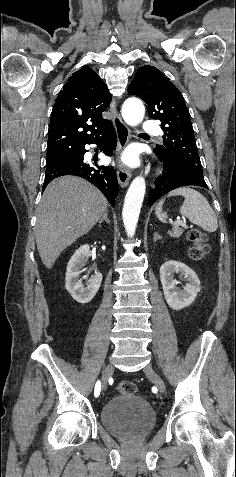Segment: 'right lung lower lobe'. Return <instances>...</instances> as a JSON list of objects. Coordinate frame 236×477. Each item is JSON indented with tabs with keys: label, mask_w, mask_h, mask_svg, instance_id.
Returning a JSON list of instances; mask_svg holds the SVG:
<instances>
[{
	"label": "right lung lower lobe",
	"mask_w": 236,
	"mask_h": 477,
	"mask_svg": "<svg viewBox=\"0 0 236 477\" xmlns=\"http://www.w3.org/2000/svg\"><path fill=\"white\" fill-rule=\"evenodd\" d=\"M86 144L100 145L102 151L106 155L111 156L112 150L115 149L117 144V136L113 125L111 124L101 135ZM85 152H87V150L84 145L71 159L54 166H47L43 189H45L47 184L54 178L64 175L79 176L99 188L114 207L115 198L119 193L115 169L110 166H99L96 164V161L94 163L85 162Z\"/></svg>",
	"instance_id": "right-lung-lower-lobe-1"
}]
</instances>
